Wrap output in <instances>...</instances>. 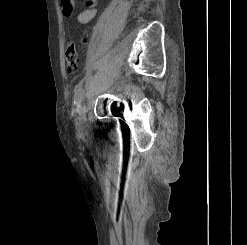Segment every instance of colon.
<instances>
[{
  "label": "colon",
  "instance_id": "5ec220e1",
  "mask_svg": "<svg viewBox=\"0 0 247 245\" xmlns=\"http://www.w3.org/2000/svg\"><path fill=\"white\" fill-rule=\"evenodd\" d=\"M65 59L67 72L69 74H76L77 72H79L82 63V54L72 37H69L67 39Z\"/></svg>",
  "mask_w": 247,
  "mask_h": 245
}]
</instances>
